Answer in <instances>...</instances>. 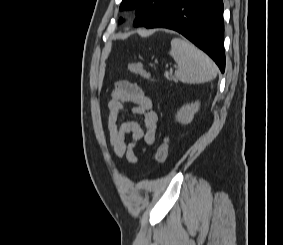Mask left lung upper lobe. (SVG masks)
<instances>
[{
    "label": "left lung upper lobe",
    "instance_id": "1",
    "mask_svg": "<svg viewBox=\"0 0 283 245\" xmlns=\"http://www.w3.org/2000/svg\"><path fill=\"white\" fill-rule=\"evenodd\" d=\"M173 0H123L120 9L137 7L134 25L146 27L159 16ZM122 22V19H120Z\"/></svg>",
    "mask_w": 283,
    "mask_h": 245
}]
</instances>
